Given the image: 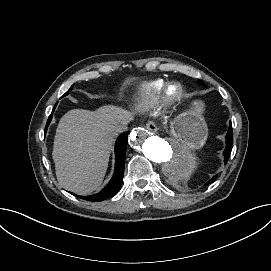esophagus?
<instances>
[{
  "label": "esophagus",
  "mask_w": 271,
  "mask_h": 271,
  "mask_svg": "<svg viewBox=\"0 0 271 271\" xmlns=\"http://www.w3.org/2000/svg\"><path fill=\"white\" fill-rule=\"evenodd\" d=\"M146 128L150 131V132H156L158 130V127L156 126V124L153 121H148L146 124Z\"/></svg>",
  "instance_id": "esophagus-1"
}]
</instances>
